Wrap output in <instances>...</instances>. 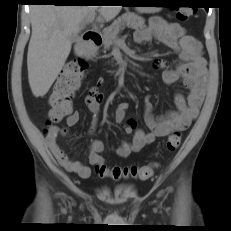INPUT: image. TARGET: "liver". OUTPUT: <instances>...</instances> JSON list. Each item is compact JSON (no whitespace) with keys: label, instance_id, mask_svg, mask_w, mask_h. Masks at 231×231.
I'll return each mask as SVG.
<instances>
[{"label":"liver","instance_id":"1","mask_svg":"<svg viewBox=\"0 0 231 231\" xmlns=\"http://www.w3.org/2000/svg\"><path fill=\"white\" fill-rule=\"evenodd\" d=\"M100 15L110 21L121 6L34 5L31 8L32 35L28 46V80L35 97L44 96L62 70L72 47V38L83 28L84 20Z\"/></svg>","mask_w":231,"mask_h":231}]
</instances>
